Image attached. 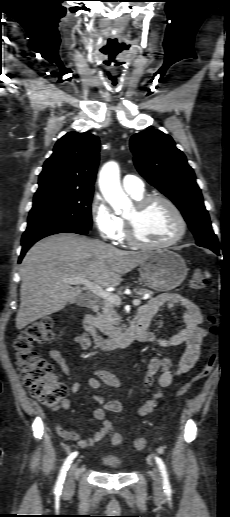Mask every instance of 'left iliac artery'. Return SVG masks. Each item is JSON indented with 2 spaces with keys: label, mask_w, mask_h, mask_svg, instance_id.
I'll return each mask as SVG.
<instances>
[{
  "label": "left iliac artery",
  "mask_w": 230,
  "mask_h": 517,
  "mask_svg": "<svg viewBox=\"0 0 230 517\" xmlns=\"http://www.w3.org/2000/svg\"><path fill=\"white\" fill-rule=\"evenodd\" d=\"M155 460H156V463H157L159 470L161 472V475H162L163 487L165 489V492L167 494H171L172 490H171V485L169 482V477H168V472H167L166 466L161 458L155 457Z\"/></svg>",
  "instance_id": "1"
}]
</instances>
